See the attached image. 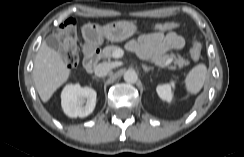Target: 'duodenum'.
<instances>
[{
  "label": "duodenum",
  "mask_w": 244,
  "mask_h": 157,
  "mask_svg": "<svg viewBox=\"0 0 244 157\" xmlns=\"http://www.w3.org/2000/svg\"><path fill=\"white\" fill-rule=\"evenodd\" d=\"M100 59V50L98 48H87L83 62V70L92 72Z\"/></svg>",
  "instance_id": "1"
}]
</instances>
